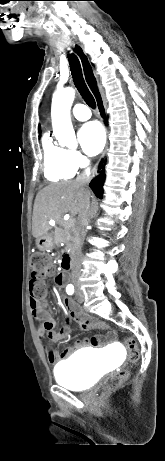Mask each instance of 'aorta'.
I'll use <instances>...</instances> for the list:
<instances>
[{
	"label": "aorta",
	"mask_w": 165,
	"mask_h": 461,
	"mask_svg": "<svg viewBox=\"0 0 165 461\" xmlns=\"http://www.w3.org/2000/svg\"><path fill=\"white\" fill-rule=\"evenodd\" d=\"M75 91L67 87L55 91L52 98L51 119L53 132L61 146L76 148L77 140L70 118Z\"/></svg>",
	"instance_id": "1"
}]
</instances>
